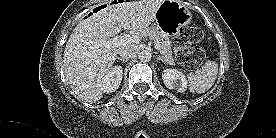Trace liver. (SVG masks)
I'll return each mask as SVG.
<instances>
[{
  "instance_id": "1",
  "label": "liver",
  "mask_w": 276,
  "mask_h": 138,
  "mask_svg": "<svg viewBox=\"0 0 276 138\" xmlns=\"http://www.w3.org/2000/svg\"><path fill=\"white\" fill-rule=\"evenodd\" d=\"M163 0H143L109 5L81 20L71 33L63 54V69L71 93L78 99L96 102L103 96L102 80L110 71L118 51L133 44H101L121 30L138 33L154 19Z\"/></svg>"
}]
</instances>
